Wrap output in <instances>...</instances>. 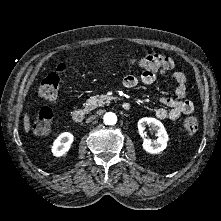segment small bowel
<instances>
[{
  "label": "small bowel",
  "instance_id": "small-bowel-1",
  "mask_svg": "<svg viewBox=\"0 0 221 221\" xmlns=\"http://www.w3.org/2000/svg\"><path fill=\"white\" fill-rule=\"evenodd\" d=\"M172 77L176 84L175 96L160 99L162 106L154 111V117L159 120H175L182 115H191L194 112L193 102L187 99L186 74L182 71H174ZM155 79V74L145 71L141 77L126 75L122 84L127 89H133L143 84H150Z\"/></svg>",
  "mask_w": 221,
  "mask_h": 221
}]
</instances>
